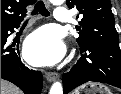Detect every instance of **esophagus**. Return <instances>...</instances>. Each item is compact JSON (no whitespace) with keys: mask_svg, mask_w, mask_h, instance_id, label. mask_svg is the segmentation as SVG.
<instances>
[{"mask_svg":"<svg viewBox=\"0 0 121 94\" xmlns=\"http://www.w3.org/2000/svg\"><path fill=\"white\" fill-rule=\"evenodd\" d=\"M45 4L47 6H49V1L48 0H44ZM59 78V75L58 73L56 72H47L46 73V79L49 81V82H53L55 80H57Z\"/></svg>","mask_w":121,"mask_h":94,"instance_id":"1","label":"esophagus"}]
</instances>
